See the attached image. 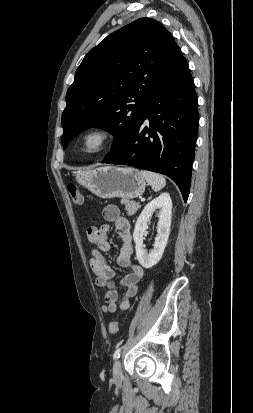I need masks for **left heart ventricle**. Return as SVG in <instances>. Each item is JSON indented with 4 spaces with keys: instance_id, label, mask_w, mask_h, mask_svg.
<instances>
[{
    "instance_id": "1",
    "label": "left heart ventricle",
    "mask_w": 253,
    "mask_h": 413,
    "mask_svg": "<svg viewBox=\"0 0 253 413\" xmlns=\"http://www.w3.org/2000/svg\"><path fill=\"white\" fill-rule=\"evenodd\" d=\"M96 144H97V139L94 137H91L85 141L84 146L86 149H92L96 146Z\"/></svg>"
}]
</instances>
